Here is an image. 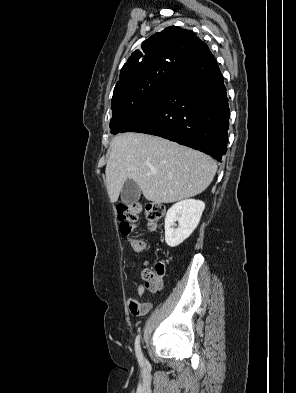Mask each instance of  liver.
<instances>
[{
  "mask_svg": "<svg viewBox=\"0 0 296 393\" xmlns=\"http://www.w3.org/2000/svg\"><path fill=\"white\" fill-rule=\"evenodd\" d=\"M216 171V162L204 153L158 136L127 132L112 139L106 187L113 203L128 179L148 201L173 203L202 193Z\"/></svg>",
  "mask_w": 296,
  "mask_h": 393,
  "instance_id": "obj_1",
  "label": "liver"
}]
</instances>
